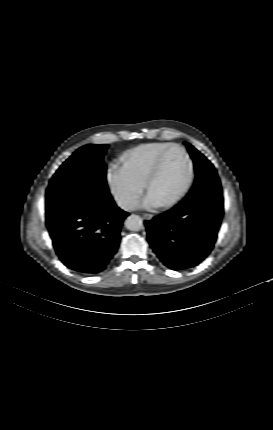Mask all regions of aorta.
<instances>
[{
    "label": "aorta",
    "instance_id": "1",
    "mask_svg": "<svg viewBox=\"0 0 273 430\" xmlns=\"http://www.w3.org/2000/svg\"><path fill=\"white\" fill-rule=\"evenodd\" d=\"M125 226L131 231H140L144 228L143 220L140 216L132 214L125 220Z\"/></svg>",
    "mask_w": 273,
    "mask_h": 430
}]
</instances>
